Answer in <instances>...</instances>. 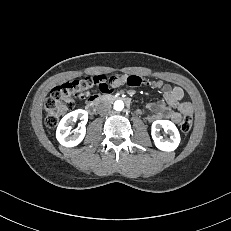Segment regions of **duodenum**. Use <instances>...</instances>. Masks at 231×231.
I'll return each instance as SVG.
<instances>
[{
  "mask_svg": "<svg viewBox=\"0 0 231 231\" xmlns=\"http://www.w3.org/2000/svg\"><path fill=\"white\" fill-rule=\"evenodd\" d=\"M118 99H123L126 103H130V98L125 97V96H119L116 94H111V93H105L103 95H100L98 98H95L91 100L90 102L87 103L86 105V110L89 114H94L96 113L98 107L109 101H115Z\"/></svg>",
  "mask_w": 231,
  "mask_h": 231,
  "instance_id": "410a0bca",
  "label": "duodenum"
}]
</instances>
